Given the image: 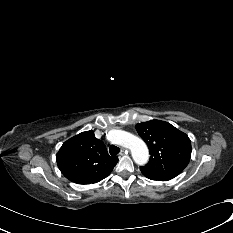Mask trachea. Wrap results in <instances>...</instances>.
Returning a JSON list of instances; mask_svg holds the SVG:
<instances>
[{"instance_id":"trachea-1","label":"trachea","mask_w":233,"mask_h":233,"mask_svg":"<svg viewBox=\"0 0 233 233\" xmlns=\"http://www.w3.org/2000/svg\"><path fill=\"white\" fill-rule=\"evenodd\" d=\"M109 152H110V154H111L112 156H115V155H117V154L120 152V149H119V147H117V146H115V145H111V146L109 147Z\"/></svg>"}]
</instances>
